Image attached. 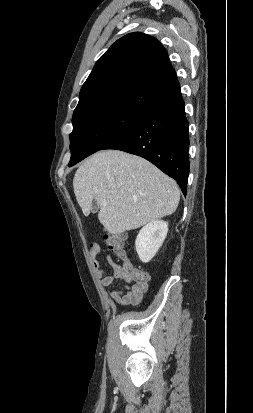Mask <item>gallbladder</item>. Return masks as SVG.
Instances as JSON below:
<instances>
[{"mask_svg":"<svg viewBox=\"0 0 253 413\" xmlns=\"http://www.w3.org/2000/svg\"><path fill=\"white\" fill-rule=\"evenodd\" d=\"M98 208H99V206H98L96 200H93L92 206H91L92 213H96L98 211Z\"/></svg>","mask_w":253,"mask_h":413,"instance_id":"obj_1","label":"gallbladder"}]
</instances>
